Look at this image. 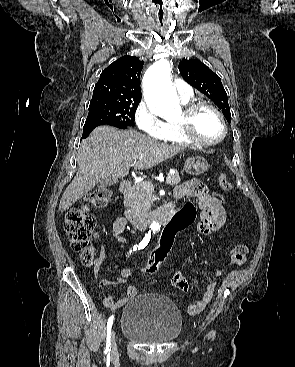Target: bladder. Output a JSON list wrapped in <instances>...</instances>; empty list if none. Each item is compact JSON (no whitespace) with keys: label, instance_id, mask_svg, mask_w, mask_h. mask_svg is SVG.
Wrapping results in <instances>:
<instances>
[{"label":"bladder","instance_id":"bladder-1","mask_svg":"<svg viewBox=\"0 0 295 367\" xmlns=\"http://www.w3.org/2000/svg\"><path fill=\"white\" fill-rule=\"evenodd\" d=\"M181 328L180 310L169 298L160 294L138 295L122 311L121 332L138 343L170 342L179 336Z\"/></svg>","mask_w":295,"mask_h":367}]
</instances>
